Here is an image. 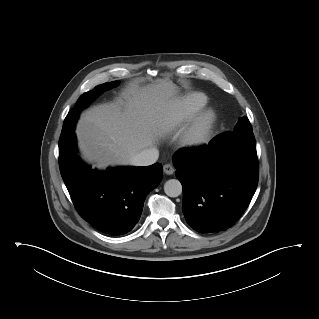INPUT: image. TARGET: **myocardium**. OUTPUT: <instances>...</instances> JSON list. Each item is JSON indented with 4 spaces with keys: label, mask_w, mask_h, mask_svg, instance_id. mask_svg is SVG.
Wrapping results in <instances>:
<instances>
[{
    "label": "myocardium",
    "mask_w": 319,
    "mask_h": 319,
    "mask_svg": "<svg viewBox=\"0 0 319 319\" xmlns=\"http://www.w3.org/2000/svg\"><path fill=\"white\" fill-rule=\"evenodd\" d=\"M217 123V113L211 108L203 109L182 134L180 138L181 144L190 148L205 145Z\"/></svg>",
    "instance_id": "1"
}]
</instances>
